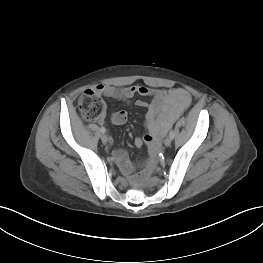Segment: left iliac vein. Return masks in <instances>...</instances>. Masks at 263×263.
<instances>
[{
  "instance_id": "left-iliac-vein-1",
  "label": "left iliac vein",
  "mask_w": 263,
  "mask_h": 263,
  "mask_svg": "<svg viewBox=\"0 0 263 263\" xmlns=\"http://www.w3.org/2000/svg\"><path fill=\"white\" fill-rule=\"evenodd\" d=\"M172 142V138L170 136L166 137V139L164 140V145L166 147H169L171 145Z\"/></svg>"
}]
</instances>
